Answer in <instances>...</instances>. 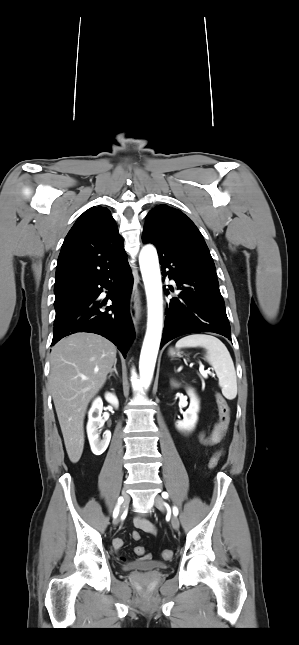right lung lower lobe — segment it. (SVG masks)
<instances>
[{
	"instance_id": "98d812e1",
	"label": "right lung lower lobe",
	"mask_w": 299,
	"mask_h": 645,
	"mask_svg": "<svg viewBox=\"0 0 299 645\" xmlns=\"http://www.w3.org/2000/svg\"><path fill=\"white\" fill-rule=\"evenodd\" d=\"M132 287L127 258L115 269L81 285L80 295L56 312L51 345L77 332H91L113 342L125 357L135 336L129 311ZM103 288L112 290V305L105 312L101 311L105 302L98 298Z\"/></svg>"
}]
</instances>
